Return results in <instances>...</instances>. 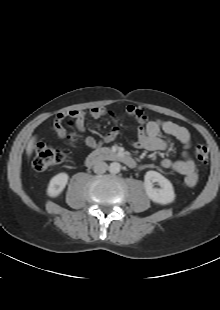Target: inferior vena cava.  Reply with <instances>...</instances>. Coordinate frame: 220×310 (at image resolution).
Here are the masks:
<instances>
[{"label": "inferior vena cava", "mask_w": 220, "mask_h": 310, "mask_svg": "<svg viewBox=\"0 0 220 310\" xmlns=\"http://www.w3.org/2000/svg\"><path fill=\"white\" fill-rule=\"evenodd\" d=\"M107 169H108V165L103 161H99L95 163V165L93 166V171L96 174H103L106 172Z\"/></svg>", "instance_id": "inferior-vena-cava-1"}]
</instances>
